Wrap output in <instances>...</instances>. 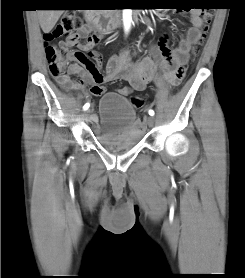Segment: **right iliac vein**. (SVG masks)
<instances>
[{"mask_svg": "<svg viewBox=\"0 0 245 278\" xmlns=\"http://www.w3.org/2000/svg\"><path fill=\"white\" fill-rule=\"evenodd\" d=\"M90 114H91V110H87L85 113H84V117L86 119H88L90 117Z\"/></svg>", "mask_w": 245, "mask_h": 278, "instance_id": "63e3f726", "label": "right iliac vein"}]
</instances>
